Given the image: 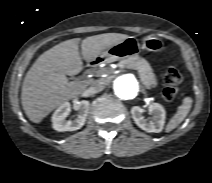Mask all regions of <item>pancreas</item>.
<instances>
[{"label":"pancreas","mask_w":212,"mask_h":183,"mask_svg":"<svg viewBox=\"0 0 212 183\" xmlns=\"http://www.w3.org/2000/svg\"><path fill=\"white\" fill-rule=\"evenodd\" d=\"M119 66L122 68L137 70L142 84L147 89H151L157 86V81L153 70L150 64L144 58L133 56L127 59H123L119 62Z\"/></svg>","instance_id":"pancreas-1"}]
</instances>
